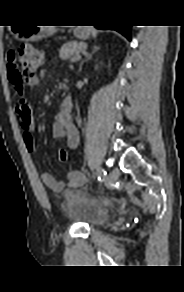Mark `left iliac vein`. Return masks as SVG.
<instances>
[{
    "label": "left iliac vein",
    "instance_id": "obj_1",
    "mask_svg": "<svg viewBox=\"0 0 184 292\" xmlns=\"http://www.w3.org/2000/svg\"><path fill=\"white\" fill-rule=\"evenodd\" d=\"M120 172L118 169H113L108 175V184H114L119 178Z\"/></svg>",
    "mask_w": 184,
    "mask_h": 292
}]
</instances>
